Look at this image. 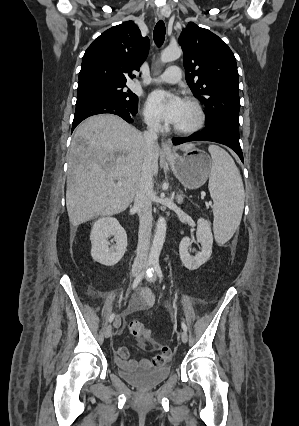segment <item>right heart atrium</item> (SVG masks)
<instances>
[{
    "mask_svg": "<svg viewBox=\"0 0 299 426\" xmlns=\"http://www.w3.org/2000/svg\"><path fill=\"white\" fill-rule=\"evenodd\" d=\"M143 115H144V119H145V122L150 126V127H152V128H159L160 127V123H159V121L155 118V117H153L149 112H148V110L147 109H144V112H143Z\"/></svg>",
    "mask_w": 299,
    "mask_h": 426,
    "instance_id": "obj_1",
    "label": "right heart atrium"
}]
</instances>
